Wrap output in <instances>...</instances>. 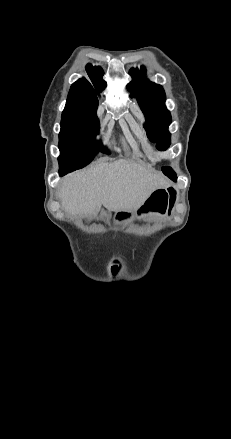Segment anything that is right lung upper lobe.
Masks as SVG:
<instances>
[{"instance_id": "right-lung-upper-lobe-1", "label": "right lung upper lobe", "mask_w": 231, "mask_h": 439, "mask_svg": "<svg viewBox=\"0 0 231 439\" xmlns=\"http://www.w3.org/2000/svg\"><path fill=\"white\" fill-rule=\"evenodd\" d=\"M86 71L91 79L90 83L85 78L72 84L63 112L97 111L98 97L96 92H102L107 84L102 79L104 74L99 66H86Z\"/></svg>"}]
</instances>
